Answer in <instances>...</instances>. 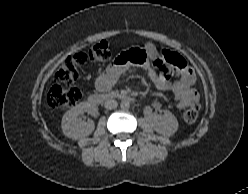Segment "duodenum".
Instances as JSON below:
<instances>
[{
    "label": "duodenum",
    "mask_w": 248,
    "mask_h": 194,
    "mask_svg": "<svg viewBox=\"0 0 248 194\" xmlns=\"http://www.w3.org/2000/svg\"><path fill=\"white\" fill-rule=\"evenodd\" d=\"M131 97L126 93L121 92H100L89 95V101L93 104H102L109 100L128 101Z\"/></svg>",
    "instance_id": "1"
}]
</instances>
